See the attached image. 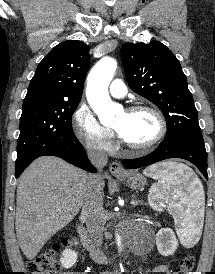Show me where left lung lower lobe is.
Masks as SVG:
<instances>
[{"mask_svg": "<svg viewBox=\"0 0 215 274\" xmlns=\"http://www.w3.org/2000/svg\"><path fill=\"white\" fill-rule=\"evenodd\" d=\"M169 158H182L192 162L208 179L207 152L204 141L190 138L165 139L152 153L137 159L123 160L126 168H140Z\"/></svg>", "mask_w": 215, "mask_h": 274, "instance_id": "1", "label": "left lung lower lobe"}]
</instances>
